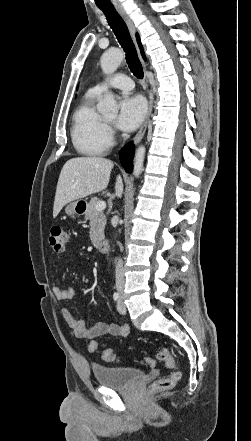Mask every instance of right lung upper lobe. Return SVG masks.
Listing matches in <instances>:
<instances>
[{
	"mask_svg": "<svg viewBox=\"0 0 251 441\" xmlns=\"http://www.w3.org/2000/svg\"><path fill=\"white\" fill-rule=\"evenodd\" d=\"M136 38H137V41H138L139 47H140V49H141V52H142L143 58H145L144 53H143V49H142V46H141V43H140V40H139V36H138V34H136Z\"/></svg>",
	"mask_w": 251,
	"mask_h": 441,
	"instance_id": "1",
	"label": "right lung upper lobe"
}]
</instances>
